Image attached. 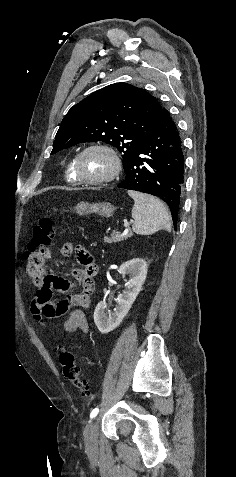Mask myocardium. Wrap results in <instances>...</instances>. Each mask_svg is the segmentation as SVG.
<instances>
[{"label":"myocardium","instance_id":"1","mask_svg":"<svg viewBox=\"0 0 236 477\" xmlns=\"http://www.w3.org/2000/svg\"><path fill=\"white\" fill-rule=\"evenodd\" d=\"M93 150L104 153L111 161V170L109 171V173H107L106 175L100 178H95V179L84 177L80 171V162L82 157L87 152L93 151ZM73 168L78 178V182L80 184L103 185L113 181L119 175L121 171V160L117 152L112 147L102 143H94V144L88 145L87 147H85L78 153V155L76 156L74 160Z\"/></svg>","mask_w":236,"mask_h":477}]
</instances>
